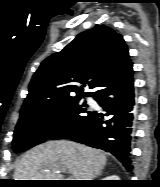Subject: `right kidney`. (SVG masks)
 I'll use <instances>...</instances> for the list:
<instances>
[{
  "label": "right kidney",
  "instance_id": "1",
  "mask_svg": "<svg viewBox=\"0 0 160 187\" xmlns=\"http://www.w3.org/2000/svg\"><path fill=\"white\" fill-rule=\"evenodd\" d=\"M104 180H119V178L116 175H112V176H108L107 178H104Z\"/></svg>",
  "mask_w": 160,
  "mask_h": 187
}]
</instances>
